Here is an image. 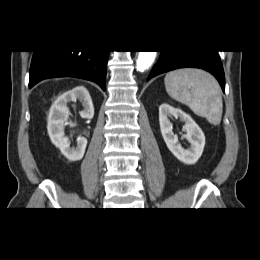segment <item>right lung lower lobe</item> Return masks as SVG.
Wrapping results in <instances>:
<instances>
[{"label":"right lung lower lobe","instance_id":"1","mask_svg":"<svg viewBox=\"0 0 260 260\" xmlns=\"http://www.w3.org/2000/svg\"><path fill=\"white\" fill-rule=\"evenodd\" d=\"M109 51H34L29 88L41 80L76 77L96 82L105 90Z\"/></svg>","mask_w":260,"mask_h":260}]
</instances>
